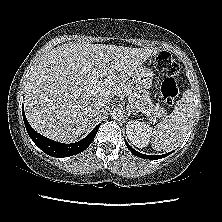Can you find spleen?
Masks as SVG:
<instances>
[{
  "label": "spleen",
  "mask_w": 222,
  "mask_h": 222,
  "mask_svg": "<svg viewBox=\"0 0 222 222\" xmlns=\"http://www.w3.org/2000/svg\"><path fill=\"white\" fill-rule=\"evenodd\" d=\"M195 116L194 95L186 90L173 113L151 129V144L156 151H171L186 138Z\"/></svg>",
  "instance_id": "3e777b00"
}]
</instances>
